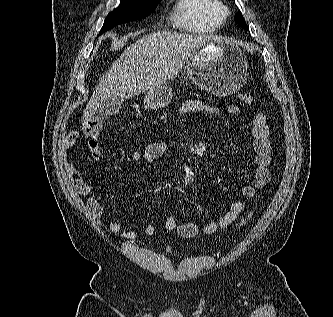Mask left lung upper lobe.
I'll use <instances>...</instances> for the list:
<instances>
[{"label": "left lung upper lobe", "mask_w": 333, "mask_h": 317, "mask_svg": "<svg viewBox=\"0 0 333 317\" xmlns=\"http://www.w3.org/2000/svg\"><path fill=\"white\" fill-rule=\"evenodd\" d=\"M235 22L237 23V24H239L240 26H242L243 28H245V29H249V27L246 25V23H245V21H244V18H243V16H242V13L241 12H238L237 14H236V18H235Z\"/></svg>", "instance_id": "obj_1"}]
</instances>
